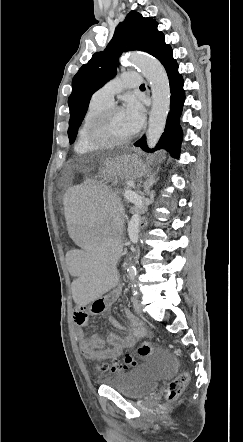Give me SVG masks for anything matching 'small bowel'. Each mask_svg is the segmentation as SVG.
I'll return each instance as SVG.
<instances>
[{"mask_svg": "<svg viewBox=\"0 0 243 442\" xmlns=\"http://www.w3.org/2000/svg\"><path fill=\"white\" fill-rule=\"evenodd\" d=\"M120 294V288L113 296H104L98 302H94L90 308L93 315L101 314L105 308L112 305ZM131 331L125 336L110 333L106 338L99 334H94L87 338L84 327L88 320V313L85 307H79L74 311V321L76 324V338L84 356L91 360L103 361L108 357H118L124 349L131 348L137 340L144 335V327L141 321L129 310L126 311ZM110 324L117 329H125V326L115 318L109 319Z\"/></svg>", "mask_w": 243, "mask_h": 442, "instance_id": "c3829d8e", "label": "small bowel"}]
</instances>
